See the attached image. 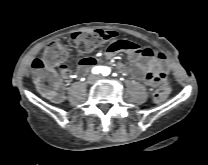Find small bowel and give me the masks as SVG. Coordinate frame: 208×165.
I'll list each match as a JSON object with an SVG mask.
<instances>
[{
    "label": "small bowel",
    "mask_w": 208,
    "mask_h": 165,
    "mask_svg": "<svg viewBox=\"0 0 208 165\" xmlns=\"http://www.w3.org/2000/svg\"><path fill=\"white\" fill-rule=\"evenodd\" d=\"M104 40L112 41L106 49V56L112 59L119 53L127 55L131 66L123 63L116 64L117 70L122 74H132L134 77L142 79L148 86L155 87L163 82L170 68V62L167 57L159 51L142 48L136 42L127 39H117V33L113 30L103 31ZM81 67H91L98 64L97 58L88 56L78 59ZM63 78L70 75V69L67 67L60 70Z\"/></svg>",
    "instance_id": "1"
}]
</instances>
